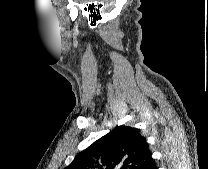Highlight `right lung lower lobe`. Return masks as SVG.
<instances>
[{"label": "right lung lower lobe", "instance_id": "1", "mask_svg": "<svg viewBox=\"0 0 208 169\" xmlns=\"http://www.w3.org/2000/svg\"><path fill=\"white\" fill-rule=\"evenodd\" d=\"M144 169H156V165L154 163V160L151 159L148 164L144 167Z\"/></svg>", "mask_w": 208, "mask_h": 169}]
</instances>
